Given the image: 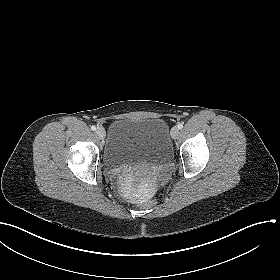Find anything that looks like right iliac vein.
Segmentation results:
<instances>
[{"label": "right iliac vein", "mask_w": 280, "mask_h": 280, "mask_svg": "<svg viewBox=\"0 0 280 280\" xmlns=\"http://www.w3.org/2000/svg\"><path fill=\"white\" fill-rule=\"evenodd\" d=\"M97 135L99 136V138L104 139L106 136V132L105 129L102 127H98L96 130Z\"/></svg>", "instance_id": "right-iliac-vein-1"}]
</instances>
